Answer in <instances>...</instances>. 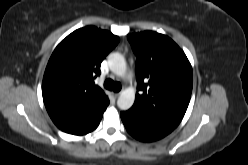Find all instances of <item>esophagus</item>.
Wrapping results in <instances>:
<instances>
[{
  "mask_svg": "<svg viewBox=\"0 0 248 165\" xmlns=\"http://www.w3.org/2000/svg\"><path fill=\"white\" fill-rule=\"evenodd\" d=\"M121 92L114 93V97L118 98L120 96Z\"/></svg>",
  "mask_w": 248,
  "mask_h": 165,
  "instance_id": "esophagus-1",
  "label": "esophagus"
}]
</instances>
